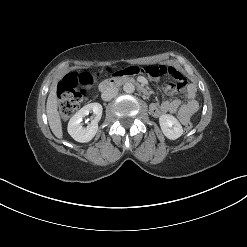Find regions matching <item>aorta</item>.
<instances>
[{"mask_svg":"<svg viewBox=\"0 0 247 247\" xmlns=\"http://www.w3.org/2000/svg\"><path fill=\"white\" fill-rule=\"evenodd\" d=\"M123 90L126 93H129L130 94V93H133L135 91V86L132 83H126L123 86Z\"/></svg>","mask_w":247,"mask_h":247,"instance_id":"1","label":"aorta"}]
</instances>
